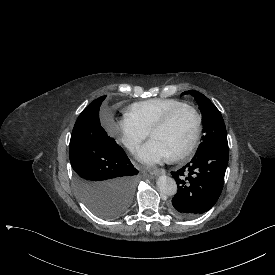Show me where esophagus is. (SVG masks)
I'll return each mask as SVG.
<instances>
[{
    "mask_svg": "<svg viewBox=\"0 0 275 275\" xmlns=\"http://www.w3.org/2000/svg\"><path fill=\"white\" fill-rule=\"evenodd\" d=\"M166 173V171L162 168L156 169L154 171L151 172V175L153 176H160V175H164Z\"/></svg>",
    "mask_w": 275,
    "mask_h": 275,
    "instance_id": "34e87169",
    "label": "esophagus"
}]
</instances>
